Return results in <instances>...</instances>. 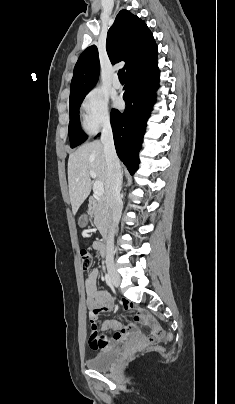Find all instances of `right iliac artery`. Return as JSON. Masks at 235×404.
Returning <instances> with one entry per match:
<instances>
[{
  "label": "right iliac artery",
  "mask_w": 235,
  "mask_h": 404,
  "mask_svg": "<svg viewBox=\"0 0 235 404\" xmlns=\"http://www.w3.org/2000/svg\"><path fill=\"white\" fill-rule=\"evenodd\" d=\"M105 281H106V283H107L108 286H111V285H112L109 274H105Z\"/></svg>",
  "instance_id": "82829eb1"
}]
</instances>
